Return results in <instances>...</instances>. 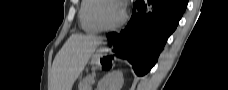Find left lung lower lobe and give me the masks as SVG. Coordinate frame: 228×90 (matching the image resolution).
<instances>
[{
	"label": "left lung lower lobe",
	"instance_id": "obj_1",
	"mask_svg": "<svg viewBox=\"0 0 228 90\" xmlns=\"http://www.w3.org/2000/svg\"><path fill=\"white\" fill-rule=\"evenodd\" d=\"M187 3V0H136L126 29L107 35L114 43L113 51L130 62L138 76L145 75L155 65ZM150 4L154 9L145 15Z\"/></svg>",
	"mask_w": 228,
	"mask_h": 90
}]
</instances>
